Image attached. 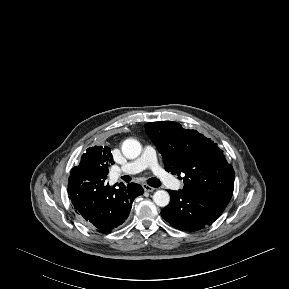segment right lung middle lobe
I'll use <instances>...</instances> for the list:
<instances>
[{"label": "right lung middle lobe", "mask_w": 289, "mask_h": 289, "mask_svg": "<svg viewBox=\"0 0 289 289\" xmlns=\"http://www.w3.org/2000/svg\"><path fill=\"white\" fill-rule=\"evenodd\" d=\"M107 174H108V172H106V173L104 174V177H106V176H107Z\"/></svg>", "instance_id": "1"}]
</instances>
